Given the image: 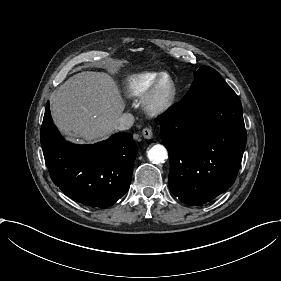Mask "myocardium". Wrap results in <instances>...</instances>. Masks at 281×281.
I'll return each mask as SVG.
<instances>
[{"label": "myocardium", "instance_id": "myocardium-1", "mask_svg": "<svg viewBox=\"0 0 281 281\" xmlns=\"http://www.w3.org/2000/svg\"><path fill=\"white\" fill-rule=\"evenodd\" d=\"M165 81L169 82L170 88L165 95H160L159 89ZM176 92L177 88L173 77L168 74H161L151 85L145 96V111L151 115H160L166 112L172 106Z\"/></svg>", "mask_w": 281, "mask_h": 281}]
</instances>
